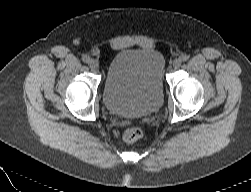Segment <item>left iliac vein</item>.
I'll use <instances>...</instances> for the list:
<instances>
[{
    "label": "left iliac vein",
    "instance_id": "4c4485c4",
    "mask_svg": "<svg viewBox=\"0 0 251 192\" xmlns=\"http://www.w3.org/2000/svg\"><path fill=\"white\" fill-rule=\"evenodd\" d=\"M180 65H181V60H180V59H175V60L173 61V63H172V66H173L175 69L179 68Z\"/></svg>",
    "mask_w": 251,
    "mask_h": 192
}]
</instances>
